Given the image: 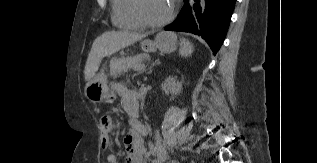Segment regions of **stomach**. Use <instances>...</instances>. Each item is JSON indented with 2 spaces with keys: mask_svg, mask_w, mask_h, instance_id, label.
Returning <instances> with one entry per match:
<instances>
[{
  "mask_svg": "<svg viewBox=\"0 0 317 163\" xmlns=\"http://www.w3.org/2000/svg\"><path fill=\"white\" fill-rule=\"evenodd\" d=\"M176 45V35L171 32H160L153 41L144 40L141 42V48L146 53L156 50L163 53H170L176 49ZM108 91L107 75L101 71L87 83L85 96L93 103H100L107 98Z\"/></svg>",
  "mask_w": 317,
  "mask_h": 163,
  "instance_id": "0dacf381",
  "label": "stomach"
}]
</instances>
